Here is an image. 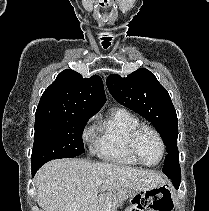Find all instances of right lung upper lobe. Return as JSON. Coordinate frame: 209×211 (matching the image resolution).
I'll return each instance as SVG.
<instances>
[{"label": "right lung upper lobe", "instance_id": "cb5924a9", "mask_svg": "<svg viewBox=\"0 0 209 211\" xmlns=\"http://www.w3.org/2000/svg\"><path fill=\"white\" fill-rule=\"evenodd\" d=\"M105 101L103 82L98 75L87 79L66 69L43 93L35 119L93 116Z\"/></svg>", "mask_w": 209, "mask_h": 211}]
</instances>
